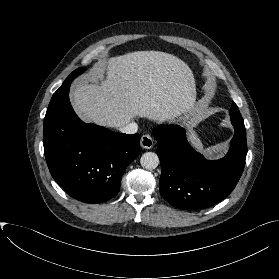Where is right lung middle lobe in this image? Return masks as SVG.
Wrapping results in <instances>:
<instances>
[{
  "label": "right lung middle lobe",
  "mask_w": 279,
  "mask_h": 279,
  "mask_svg": "<svg viewBox=\"0 0 279 279\" xmlns=\"http://www.w3.org/2000/svg\"><path fill=\"white\" fill-rule=\"evenodd\" d=\"M84 71H85V69L78 68V69L74 70L66 78V80L63 82L62 86L54 93V95L49 103L47 113H50L55 108H57L68 97L71 81Z\"/></svg>",
  "instance_id": "right-lung-middle-lobe-1"
}]
</instances>
